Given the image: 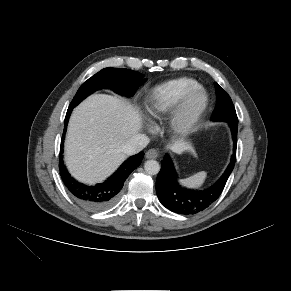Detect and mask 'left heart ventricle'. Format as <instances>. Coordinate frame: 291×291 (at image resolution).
I'll return each instance as SVG.
<instances>
[{"label": "left heart ventricle", "mask_w": 291, "mask_h": 291, "mask_svg": "<svg viewBox=\"0 0 291 291\" xmlns=\"http://www.w3.org/2000/svg\"><path fill=\"white\" fill-rule=\"evenodd\" d=\"M201 104V97L200 96H196L189 107V111L193 112L194 110H196L198 108V106Z\"/></svg>", "instance_id": "obj_1"}]
</instances>
